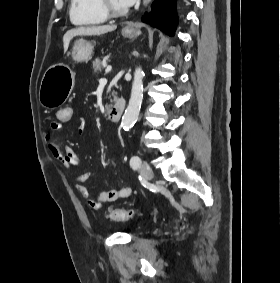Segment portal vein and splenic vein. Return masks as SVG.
<instances>
[{"label":"portal vein and splenic vein","instance_id":"1","mask_svg":"<svg viewBox=\"0 0 280 283\" xmlns=\"http://www.w3.org/2000/svg\"><path fill=\"white\" fill-rule=\"evenodd\" d=\"M112 67L111 66H108L106 69H105V72L106 73H109L111 71ZM107 82V79L106 78H101L100 79V83H106Z\"/></svg>","mask_w":280,"mask_h":283}]
</instances>
